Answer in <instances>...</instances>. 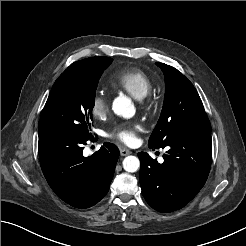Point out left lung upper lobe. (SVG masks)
<instances>
[{"mask_svg":"<svg viewBox=\"0 0 246 246\" xmlns=\"http://www.w3.org/2000/svg\"><path fill=\"white\" fill-rule=\"evenodd\" d=\"M165 75V98L149 146L161 148L175 137L211 135V125L193 84L177 69L156 63Z\"/></svg>","mask_w":246,"mask_h":246,"instance_id":"obj_1","label":"left lung upper lobe"}]
</instances>
